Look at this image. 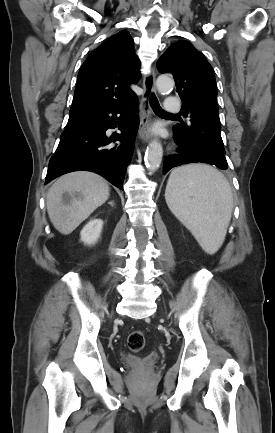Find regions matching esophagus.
<instances>
[{
    "instance_id": "34e87169",
    "label": "esophagus",
    "mask_w": 275,
    "mask_h": 433,
    "mask_svg": "<svg viewBox=\"0 0 275 433\" xmlns=\"http://www.w3.org/2000/svg\"><path fill=\"white\" fill-rule=\"evenodd\" d=\"M156 93L155 86V71L151 69L143 79V94L141 98L142 115L139 126V137L142 141L147 142L150 140L151 133V108L150 98Z\"/></svg>"
}]
</instances>
